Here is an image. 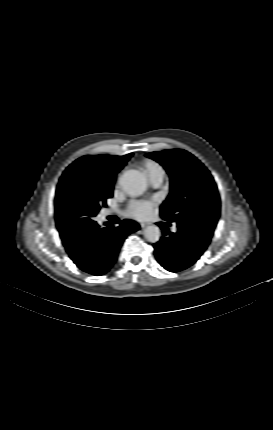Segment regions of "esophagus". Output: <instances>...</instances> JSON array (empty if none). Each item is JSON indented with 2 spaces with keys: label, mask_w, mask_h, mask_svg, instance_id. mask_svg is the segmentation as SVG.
Segmentation results:
<instances>
[{
  "label": "esophagus",
  "mask_w": 273,
  "mask_h": 430,
  "mask_svg": "<svg viewBox=\"0 0 273 430\" xmlns=\"http://www.w3.org/2000/svg\"><path fill=\"white\" fill-rule=\"evenodd\" d=\"M150 224H151L150 222H141L140 226H141V228H145V227L149 226Z\"/></svg>",
  "instance_id": "obj_1"
}]
</instances>
